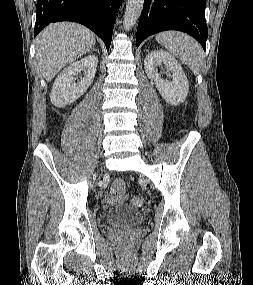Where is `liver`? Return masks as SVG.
Instances as JSON below:
<instances>
[{"mask_svg": "<svg viewBox=\"0 0 253 285\" xmlns=\"http://www.w3.org/2000/svg\"><path fill=\"white\" fill-rule=\"evenodd\" d=\"M38 67L47 82L67 64L87 53L95 44L94 33L83 25L53 23L36 38Z\"/></svg>", "mask_w": 253, "mask_h": 285, "instance_id": "6515ba94", "label": "liver"}]
</instances>
